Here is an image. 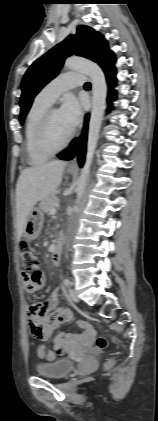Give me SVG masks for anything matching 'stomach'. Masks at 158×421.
<instances>
[{"instance_id": "1", "label": "stomach", "mask_w": 158, "mask_h": 421, "mask_svg": "<svg viewBox=\"0 0 158 421\" xmlns=\"http://www.w3.org/2000/svg\"><path fill=\"white\" fill-rule=\"evenodd\" d=\"M69 173H72V169H68ZM44 215L43 211L38 207H33L25 222V237L28 240H35L42 229L43 226Z\"/></svg>"}]
</instances>
